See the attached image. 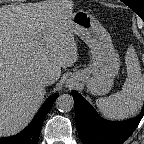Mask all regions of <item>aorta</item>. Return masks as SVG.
<instances>
[{"instance_id": "aorta-1", "label": "aorta", "mask_w": 144, "mask_h": 144, "mask_svg": "<svg viewBox=\"0 0 144 144\" xmlns=\"http://www.w3.org/2000/svg\"><path fill=\"white\" fill-rule=\"evenodd\" d=\"M56 108L60 112H69L74 106L73 97L69 94H62L56 99Z\"/></svg>"}]
</instances>
